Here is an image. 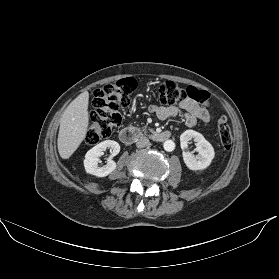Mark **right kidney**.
I'll return each instance as SVG.
<instances>
[{
  "instance_id": "1",
  "label": "right kidney",
  "mask_w": 279,
  "mask_h": 279,
  "mask_svg": "<svg viewBox=\"0 0 279 279\" xmlns=\"http://www.w3.org/2000/svg\"><path fill=\"white\" fill-rule=\"evenodd\" d=\"M110 149L111 156L107 160V164L99 166V156L103 154V151ZM120 151V145L113 140L103 141L93 148H91L85 155L84 167L85 171L97 177H106L112 171L116 169V162L112 160V157L116 156Z\"/></svg>"
}]
</instances>
